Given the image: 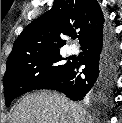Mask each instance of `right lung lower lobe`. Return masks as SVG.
I'll list each match as a JSON object with an SVG mask.
<instances>
[{"label": "right lung lower lobe", "instance_id": "obj_1", "mask_svg": "<svg viewBox=\"0 0 122 123\" xmlns=\"http://www.w3.org/2000/svg\"><path fill=\"white\" fill-rule=\"evenodd\" d=\"M84 51L82 73L80 63L71 62L67 71L39 89H51L64 93L74 101L91 97L99 101L109 96L114 84L118 63L117 44L103 28L87 37L82 43Z\"/></svg>", "mask_w": 122, "mask_h": 123}]
</instances>
